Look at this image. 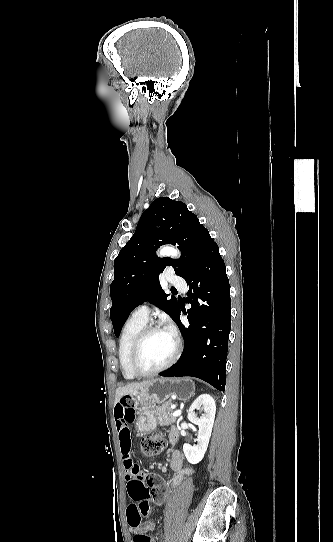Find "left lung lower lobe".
I'll list each match as a JSON object with an SVG mask.
<instances>
[{"mask_svg":"<svg viewBox=\"0 0 333 542\" xmlns=\"http://www.w3.org/2000/svg\"><path fill=\"white\" fill-rule=\"evenodd\" d=\"M189 290L183 311L190 325L180 322L181 303L175 320L184 338L180 359L161 376L200 378L224 391L228 338L231 329V299L226 267L218 245L211 238L195 270L185 278ZM181 308V309H180Z\"/></svg>","mask_w":333,"mask_h":542,"instance_id":"obj_1","label":"left lung lower lobe"}]
</instances>
